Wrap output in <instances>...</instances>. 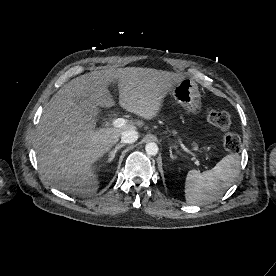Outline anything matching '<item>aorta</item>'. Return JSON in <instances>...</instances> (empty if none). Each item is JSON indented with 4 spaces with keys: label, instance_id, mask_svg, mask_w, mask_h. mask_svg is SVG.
<instances>
[{
    "label": "aorta",
    "instance_id": "obj_1",
    "mask_svg": "<svg viewBox=\"0 0 276 276\" xmlns=\"http://www.w3.org/2000/svg\"><path fill=\"white\" fill-rule=\"evenodd\" d=\"M146 153L150 156H155L158 153V146L156 143L150 142L145 146Z\"/></svg>",
    "mask_w": 276,
    "mask_h": 276
}]
</instances>
